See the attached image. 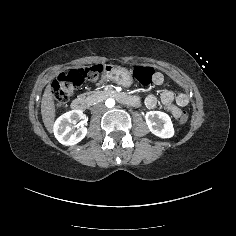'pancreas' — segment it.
Listing matches in <instances>:
<instances>
[{
    "label": "pancreas",
    "mask_w": 236,
    "mask_h": 236,
    "mask_svg": "<svg viewBox=\"0 0 236 236\" xmlns=\"http://www.w3.org/2000/svg\"><path fill=\"white\" fill-rule=\"evenodd\" d=\"M108 96V92L106 91H97V92H87L82 94L80 97L84 98L85 102L90 106L94 103L103 101Z\"/></svg>",
    "instance_id": "pancreas-1"
}]
</instances>
